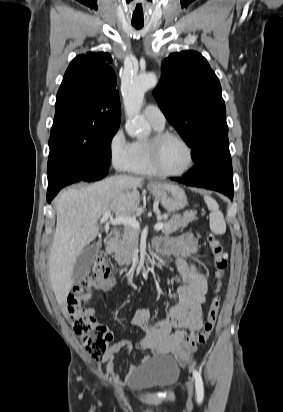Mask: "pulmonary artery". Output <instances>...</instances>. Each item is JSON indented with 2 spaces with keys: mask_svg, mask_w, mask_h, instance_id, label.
Segmentation results:
<instances>
[{
  "mask_svg": "<svg viewBox=\"0 0 283 412\" xmlns=\"http://www.w3.org/2000/svg\"><path fill=\"white\" fill-rule=\"evenodd\" d=\"M143 117L151 124L164 127L166 118L162 110L155 104L147 105L143 110Z\"/></svg>",
  "mask_w": 283,
  "mask_h": 412,
  "instance_id": "obj_1",
  "label": "pulmonary artery"
}]
</instances>
